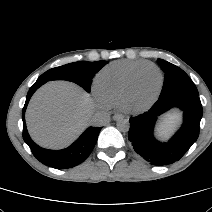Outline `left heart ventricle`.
Instances as JSON below:
<instances>
[{
	"label": "left heart ventricle",
	"mask_w": 212,
	"mask_h": 212,
	"mask_svg": "<svg viewBox=\"0 0 212 212\" xmlns=\"http://www.w3.org/2000/svg\"><path fill=\"white\" fill-rule=\"evenodd\" d=\"M159 86V75L154 69L143 70L136 81L134 90L129 99V104L140 107L148 103Z\"/></svg>",
	"instance_id": "1"
}]
</instances>
